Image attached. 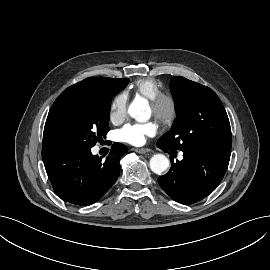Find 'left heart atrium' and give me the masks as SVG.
Segmentation results:
<instances>
[{"mask_svg": "<svg viewBox=\"0 0 270 270\" xmlns=\"http://www.w3.org/2000/svg\"><path fill=\"white\" fill-rule=\"evenodd\" d=\"M158 125L154 121L125 125L119 132L121 140L132 145H142L146 137L154 136Z\"/></svg>", "mask_w": 270, "mask_h": 270, "instance_id": "1", "label": "left heart atrium"}]
</instances>
